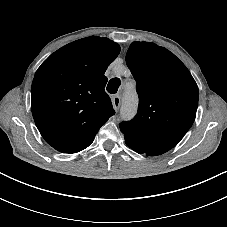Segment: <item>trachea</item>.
<instances>
[{"label": "trachea", "instance_id": "1", "mask_svg": "<svg viewBox=\"0 0 227 227\" xmlns=\"http://www.w3.org/2000/svg\"><path fill=\"white\" fill-rule=\"evenodd\" d=\"M120 84H121V81L119 78L117 77L112 78L107 85V91L110 94H115L118 91V87L120 86Z\"/></svg>", "mask_w": 227, "mask_h": 227}]
</instances>
